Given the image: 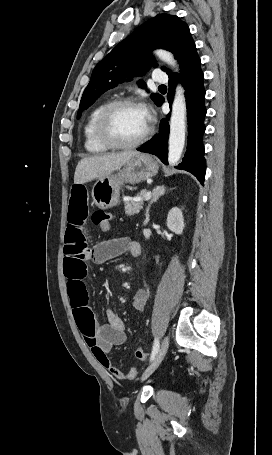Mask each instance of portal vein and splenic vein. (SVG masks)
Returning <instances> with one entry per match:
<instances>
[{
  "instance_id": "obj_1",
  "label": "portal vein and splenic vein",
  "mask_w": 272,
  "mask_h": 455,
  "mask_svg": "<svg viewBox=\"0 0 272 455\" xmlns=\"http://www.w3.org/2000/svg\"><path fill=\"white\" fill-rule=\"evenodd\" d=\"M151 198V192L148 191L145 195V200H149Z\"/></svg>"
}]
</instances>
